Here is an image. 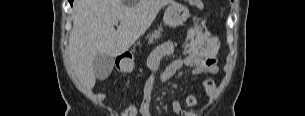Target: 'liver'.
I'll return each instance as SVG.
<instances>
[{
  "instance_id": "obj_1",
  "label": "liver",
  "mask_w": 305,
  "mask_h": 116,
  "mask_svg": "<svg viewBox=\"0 0 305 116\" xmlns=\"http://www.w3.org/2000/svg\"><path fill=\"white\" fill-rule=\"evenodd\" d=\"M174 0H75L69 37V63L87 89L96 82L94 59L126 52L155 20L160 9ZM120 22L117 30L114 22Z\"/></svg>"
}]
</instances>
